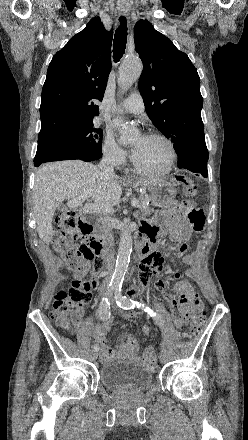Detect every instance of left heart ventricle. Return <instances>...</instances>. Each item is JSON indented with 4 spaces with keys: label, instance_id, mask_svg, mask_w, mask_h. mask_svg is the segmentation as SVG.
Masks as SVG:
<instances>
[{
    "label": "left heart ventricle",
    "instance_id": "b2bd125f",
    "mask_svg": "<svg viewBox=\"0 0 248 440\" xmlns=\"http://www.w3.org/2000/svg\"><path fill=\"white\" fill-rule=\"evenodd\" d=\"M141 140L138 153L133 157L135 163L141 168L159 170L166 166L169 159L167 145L157 138L139 137L134 145Z\"/></svg>",
    "mask_w": 248,
    "mask_h": 440
}]
</instances>
